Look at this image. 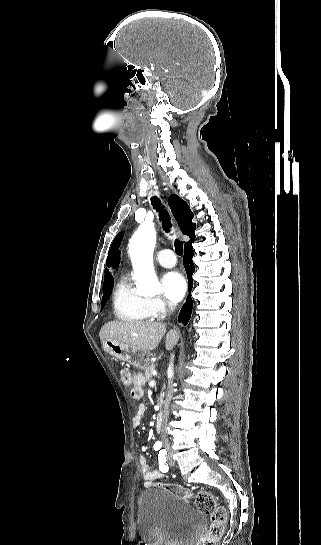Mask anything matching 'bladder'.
Here are the masks:
<instances>
[{
  "label": "bladder",
  "mask_w": 321,
  "mask_h": 545,
  "mask_svg": "<svg viewBox=\"0 0 321 545\" xmlns=\"http://www.w3.org/2000/svg\"><path fill=\"white\" fill-rule=\"evenodd\" d=\"M205 525L202 511L162 487L138 498V535L147 545H191Z\"/></svg>",
  "instance_id": "31cf9c89"
}]
</instances>
